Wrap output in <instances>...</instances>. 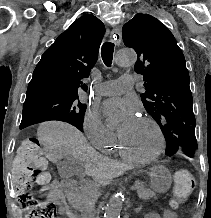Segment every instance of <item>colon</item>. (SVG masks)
<instances>
[{"mask_svg":"<svg viewBox=\"0 0 211 218\" xmlns=\"http://www.w3.org/2000/svg\"><path fill=\"white\" fill-rule=\"evenodd\" d=\"M15 188L20 192V201L26 211V218H56L55 205L45 198H37L29 193L34 183L45 185L50 176L46 158L36 137L24 141L17 150L12 166ZM195 180L190 171L181 169L174 174V197L176 203L185 202L193 191Z\"/></svg>","mask_w":211,"mask_h":218,"instance_id":"colon-1","label":"colon"}]
</instances>
